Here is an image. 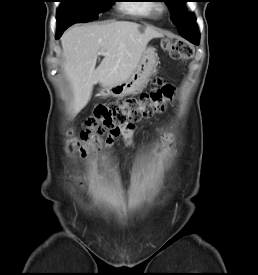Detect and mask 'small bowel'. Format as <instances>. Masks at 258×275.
I'll return each instance as SVG.
<instances>
[{"instance_id": "c3829d8e", "label": "small bowel", "mask_w": 258, "mask_h": 275, "mask_svg": "<svg viewBox=\"0 0 258 275\" xmlns=\"http://www.w3.org/2000/svg\"><path fill=\"white\" fill-rule=\"evenodd\" d=\"M123 134V136L125 137V142L128 146H134L135 142H134V130H125L121 132ZM168 140H172V138L170 136H167ZM108 147H112V138H110L107 142H106Z\"/></svg>"}]
</instances>
